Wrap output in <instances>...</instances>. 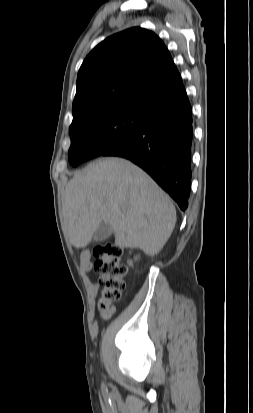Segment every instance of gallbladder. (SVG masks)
<instances>
[{
  "mask_svg": "<svg viewBox=\"0 0 253 413\" xmlns=\"http://www.w3.org/2000/svg\"><path fill=\"white\" fill-rule=\"evenodd\" d=\"M112 234V227L102 222L94 233V240L96 242L104 241L105 239L109 238Z\"/></svg>",
  "mask_w": 253,
  "mask_h": 413,
  "instance_id": "bac80fb5",
  "label": "gallbladder"
}]
</instances>
